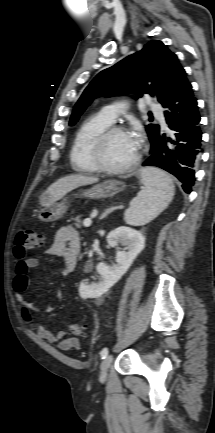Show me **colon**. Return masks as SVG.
<instances>
[{"instance_id": "colon-1", "label": "colon", "mask_w": 215, "mask_h": 433, "mask_svg": "<svg viewBox=\"0 0 215 433\" xmlns=\"http://www.w3.org/2000/svg\"><path fill=\"white\" fill-rule=\"evenodd\" d=\"M15 244V255L19 259H24L28 251L41 247L42 238L33 228L23 227L17 234ZM69 332L75 337H84L86 335V325L79 322L72 323L69 325Z\"/></svg>"}]
</instances>
